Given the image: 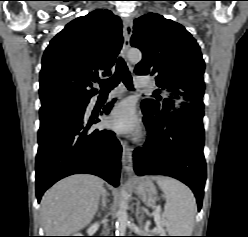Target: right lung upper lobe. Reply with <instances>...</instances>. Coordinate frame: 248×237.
I'll return each mask as SVG.
<instances>
[{
	"mask_svg": "<svg viewBox=\"0 0 248 237\" xmlns=\"http://www.w3.org/2000/svg\"><path fill=\"white\" fill-rule=\"evenodd\" d=\"M123 43L120 18L97 9L76 18L46 48L40 71L42 106L64 100L85 101L99 75L109 76Z\"/></svg>",
	"mask_w": 248,
	"mask_h": 237,
	"instance_id": "cb5924a9",
	"label": "right lung upper lobe"
}]
</instances>
